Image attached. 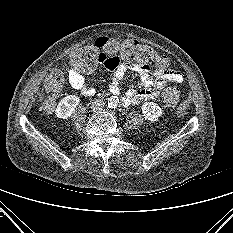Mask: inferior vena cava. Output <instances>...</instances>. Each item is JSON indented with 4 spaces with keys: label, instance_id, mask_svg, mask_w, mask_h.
I'll list each match as a JSON object with an SVG mask.
<instances>
[{
    "label": "inferior vena cava",
    "instance_id": "602c4592",
    "mask_svg": "<svg viewBox=\"0 0 233 233\" xmlns=\"http://www.w3.org/2000/svg\"><path fill=\"white\" fill-rule=\"evenodd\" d=\"M102 107H104V102L102 100H95L92 102L91 109L93 112L97 113L101 111Z\"/></svg>",
    "mask_w": 233,
    "mask_h": 233
}]
</instances>
